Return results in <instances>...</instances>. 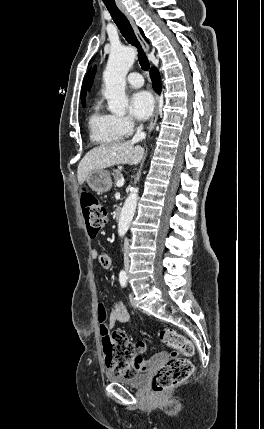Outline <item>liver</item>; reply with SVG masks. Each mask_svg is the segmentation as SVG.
I'll use <instances>...</instances> for the list:
<instances>
[{"label": "liver", "instance_id": "liver-1", "mask_svg": "<svg viewBox=\"0 0 264 429\" xmlns=\"http://www.w3.org/2000/svg\"><path fill=\"white\" fill-rule=\"evenodd\" d=\"M144 157V148L132 141L113 142L90 150L80 161L77 178L82 185L93 170L105 169L116 164L137 165Z\"/></svg>", "mask_w": 264, "mask_h": 429}]
</instances>
